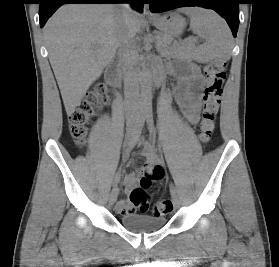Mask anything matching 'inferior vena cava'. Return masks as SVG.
<instances>
[{
	"label": "inferior vena cava",
	"mask_w": 279,
	"mask_h": 267,
	"mask_svg": "<svg viewBox=\"0 0 279 267\" xmlns=\"http://www.w3.org/2000/svg\"><path fill=\"white\" fill-rule=\"evenodd\" d=\"M119 12L121 19L119 21L117 30V43L121 61L126 68L125 85L134 91V100L138 96V84L136 78V52L132 45V38L135 35V30L132 26L131 17L134 14L133 10L128 4L119 5ZM133 100V98H131Z\"/></svg>",
	"instance_id": "602c4592"
}]
</instances>
